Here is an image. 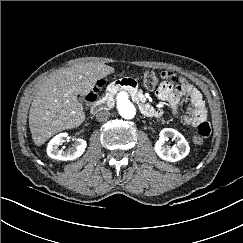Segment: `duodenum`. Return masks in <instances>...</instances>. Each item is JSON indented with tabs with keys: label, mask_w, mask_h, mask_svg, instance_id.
I'll use <instances>...</instances> for the list:
<instances>
[{
	"label": "duodenum",
	"mask_w": 243,
	"mask_h": 243,
	"mask_svg": "<svg viewBox=\"0 0 243 243\" xmlns=\"http://www.w3.org/2000/svg\"><path fill=\"white\" fill-rule=\"evenodd\" d=\"M115 89H124L129 91L132 95V98L139 104L140 111L142 112L143 115L148 117L155 115L156 110L152 106H150L149 104L143 101V99L140 97L139 93L137 92L135 83L131 79H122L112 84L111 87L109 88V91L100 100H97L92 104L91 112L93 114H97L104 108L112 106L114 102L112 92Z\"/></svg>",
	"instance_id": "410a0bca"
}]
</instances>
